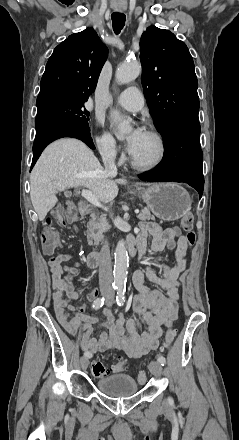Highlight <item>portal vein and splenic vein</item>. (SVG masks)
Instances as JSON below:
<instances>
[{
	"label": "portal vein and splenic vein",
	"mask_w": 239,
	"mask_h": 440,
	"mask_svg": "<svg viewBox=\"0 0 239 440\" xmlns=\"http://www.w3.org/2000/svg\"><path fill=\"white\" fill-rule=\"evenodd\" d=\"M81 196H83V198H85V200H88V202H90V204H93V206H97V208H103L101 202H99L98 198H96V196H94V194H92V192H90V190H82ZM105 210H107V208H105ZM134 214H136V215L140 214L138 212V209H135Z\"/></svg>",
	"instance_id": "18ae733b"
}]
</instances>
